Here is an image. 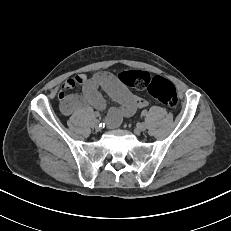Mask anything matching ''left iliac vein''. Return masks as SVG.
<instances>
[{
  "mask_svg": "<svg viewBox=\"0 0 231 231\" xmlns=\"http://www.w3.org/2000/svg\"><path fill=\"white\" fill-rule=\"evenodd\" d=\"M147 129L146 123H141L137 126L136 131L137 133L144 132Z\"/></svg>",
  "mask_w": 231,
  "mask_h": 231,
  "instance_id": "left-iliac-vein-1",
  "label": "left iliac vein"
}]
</instances>
